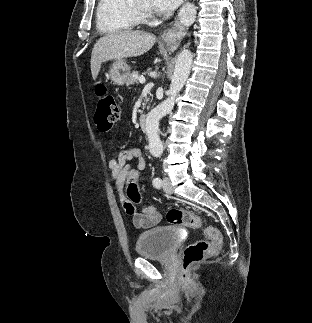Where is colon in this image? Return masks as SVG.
Here are the masks:
<instances>
[{"label":"colon","mask_w":312,"mask_h":323,"mask_svg":"<svg viewBox=\"0 0 312 323\" xmlns=\"http://www.w3.org/2000/svg\"><path fill=\"white\" fill-rule=\"evenodd\" d=\"M103 89V87H101ZM120 117V107L116 103L113 95H103L98 100L97 110L95 113V125L101 132L112 129ZM140 174L135 168H132L127 177L128 184L126 193L128 199L123 200L122 207L129 215L135 212V206L139 204L140 192L136 184ZM144 213L154 211L150 206L140 208ZM167 222L172 225H187L195 230L201 226V220L190 210L180 208H170L167 212ZM205 236L208 241H197L188 245L183 252V262H181V269H190L192 264L201 262L205 257L214 255L223 247V238L217 235V232L211 228H203Z\"/></svg>","instance_id":"obj_1"}]
</instances>
